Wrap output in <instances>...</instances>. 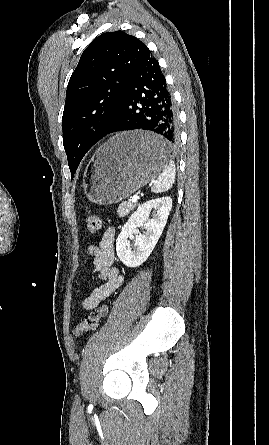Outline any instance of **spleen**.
<instances>
[{"label":"spleen","instance_id":"3e777b00","mask_svg":"<svg viewBox=\"0 0 269 445\" xmlns=\"http://www.w3.org/2000/svg\"><path fill=\"white\" fill-rule=\"evenodd\" d=\"M175 174V164L170 160L156 181H154L151 191L154 193H162L171 189L175 181Z\"/></svg>","mask_w":269,"mask_h":445}]
</instances>
